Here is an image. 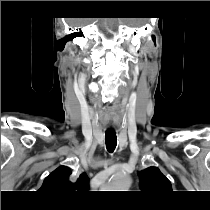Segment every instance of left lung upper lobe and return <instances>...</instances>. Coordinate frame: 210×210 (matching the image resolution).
<instances>
[{"label": "left lung upper lobe", "instance_id": "5c2ea615", "mask_svg": "<svg viewBox=\"0 0 210 210\" xmlns=\"http://www.w3.org/2000/svg\"><path fill=\"white\" fill-rule=\"evenodd\" d=\"M138 174L140 188L144 193H163L172 190L170 181L157 167H149Z\"/></svg>", "mask_w": 210, "mask_h": 210}]
</instances>
